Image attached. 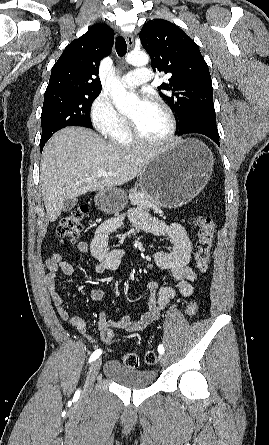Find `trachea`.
<instances>
[{
    "label": "trachea",
    "mask_w": 269,
    "mask_h": 445,
    "mask_svg": "<svg viewBox=\"0 0 269 445\" xmlns=\"http://www.w3.org/2000/svg\"><path fill=\"white\" fill-rule=\"evenodd\" d=\"M127 51V44L122 36L116 38V52L120 57H123Z\"/></svg>",
    "instance_id": "3493384b"
}]
</instances>
